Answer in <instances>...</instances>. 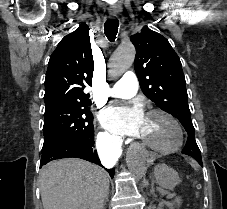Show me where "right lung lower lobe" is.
Returning <instances> with one entry per match:
<instances>
[{
    "instance_id": "right-lung-lower-lobe-1",
    "label": "right lung lower lobe",
    "mask_w": 227,
    "mask_h": 209,
    "mask_svg": "<svg viewBox=\"0 0 227 209\" xmlns=\"http://www.w3.org/2000/svg\"><path fill=\"white\" fill-rule=\"evenodd\" d=\"M94 136L93 138H74L62 141L55 145L42 148V157L40 161V167L46 163L61 158H81L96 164H100V160L97 155V151L94 147ZM110 176L113 178L114 170H107Z\"/></svg>"
}]
</instances>
